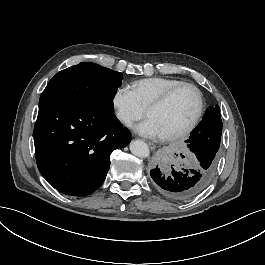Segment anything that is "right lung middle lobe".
I'll list each match as a JSON object with an SVG mask.
<instances>
[{
  "mask_svg": "<svg viewBox=\"0 0 265 265\" xmlns=\"http://www.w3.org/2000/svg\"><path fill=\"white\" fill-rule=\"evenodd\" d=\"M123 77L119 72L83 62L58 72L40 100L59 99L76 105L113 113V98Z\"/></svg>",
  "mask_w": 265,
  "mask_h": 265,
  "instance_id": "obj_1",
  "label": "right lung middle lobe"
}]
</instances>
